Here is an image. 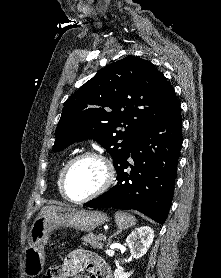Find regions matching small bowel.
Wrapping results in <instances>:
<instances>
[{"label": "small bowel", "instance_id": "obj_1", "mask_svg": "<svg viewBox=\"0 0 221 278\" xmlns=\"http://www.w3.org/2000/svg\"><path fill=\"white\" fill-rule=\"evenodd\" d=\"M88 270L90 278H111L110 268L96 254L84 249L71 251L60 266L58 278H81V273ZM44 278H51L48 273Z\"/></svg>", "mask_w": 221, "mask_h": 278}]
</instances>
